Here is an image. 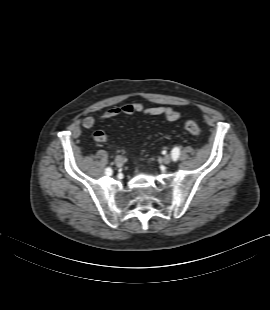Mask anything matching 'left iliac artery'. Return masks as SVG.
Instances as JSON below:
<instances>
[{"label":"left iliac artery","mask_w":270,"mask_h":310,"mask_svg":"<svg viewBox=\"0 0 270 310\" xmlns=\"http://www.w3.org/2000/svg\"><path fill=\"white\" fill-rule=\"evenodd\" d=\"M179 154H180L179 148L176 147V148H174L172 150L171 156H172L173 161H177L178 160Z\"/></svg>","instance_id":"44dca946"}]
</instances>
